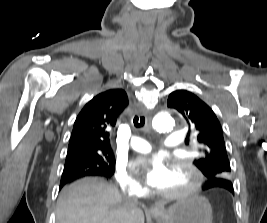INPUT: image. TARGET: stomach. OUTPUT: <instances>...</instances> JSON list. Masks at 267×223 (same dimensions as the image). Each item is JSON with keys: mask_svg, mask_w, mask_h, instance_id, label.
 <instances>
[{"mask_svg": "<svg viewBox=\"0 0 267 223\" xmlns=\"http://www.w3.org/2000/svg\"><path fill=\"white\" fill-rule=\"evenodd\" d=\"M152 216L160 223H212V208L205 197L193 195L152 212Z\"/></svg>", "mask_w": 267, "mask_h": 223, "instance_id": "0dacf381", "label": "stomach"}]
</instances>
